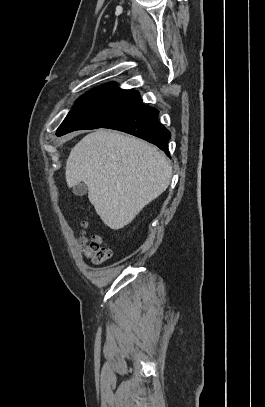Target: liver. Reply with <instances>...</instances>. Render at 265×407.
I'll return each instance as SVG.
<instances>
[{"mask_svg": "<svg viewBox=\"0 0 265 407\" xmlns=\"http://www.w3.org/2000/svg\"><path fill=\"white\" fill-rule=\"evenodd\" d=\"M65 177L68 187L86 184L89 201L101 220L118 230L167 189L172 167L146 141L98 129L71 150Z\"/></svg>", "mask_w": 265, "mask_h": 407, "instance_id": "1", "label": "liver"}]
</instances>
